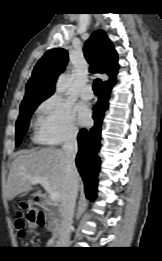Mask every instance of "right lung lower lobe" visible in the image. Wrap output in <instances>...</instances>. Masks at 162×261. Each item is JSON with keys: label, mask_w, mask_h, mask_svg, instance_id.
<instances>
[{"label": "right lung lower lobe", "mask_w": 162, "mask_h": 261, "mask_svg": "<svg viewBox=\"0 0 162 261\" xmlns=\"http://www.w3.org/2000/svg\"><path fill=\"white\" fill-rule=\"evenodd\" d=\"M111 89L112 87L102 89L94 107V126L90 130L81 129L78 134L79 151L76 165L84 181L86 197L91 201L95 199L97 192V177L101 164L97 152L100 150L101 125L104 112L108 109Z\"/></svg>", "instance_id": "98d812e1"}]
</instances>
